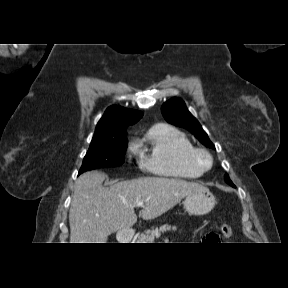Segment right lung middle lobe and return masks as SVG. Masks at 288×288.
<instances>
[{
  "label": "right lung middle lobe",
  "mask_w": 288,
  "mask_h": 288,
  "mask_svg": "<svg viewBox=\"0 0 288 288\" xmlns=\"http://www.w3.org/2000/svg\"><path fill=\"white\" fill-rule=\"evenodd\" d=\"M126 148V133L92 140L79 174L96 168L121 166L124 163Z\"/></svg>",
  "instance_id": "dd1d6c3e"
}]
</instances>
